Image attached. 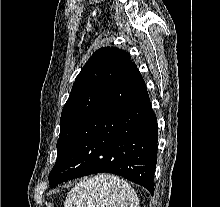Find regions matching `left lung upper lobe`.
Masks as SVG:
<instances>
[{
  "instance_id": "1",
  "label": "left lung upper lobe",
  "mask_w": 220,
  "mask_h": 207,
  "mask_svg": "<svg viewBox=\"0 0 220 207\" xmlns=\"http://www.w3.org/2000/svg\"><path fill=\"white\" fill-rule=\"evenodd\" d=\"M130 62L128 53L114 47L100 48L88 59L76 77L62 110L56 163L76 131L106 96Z\"/></svg>"
}]
</instances>
